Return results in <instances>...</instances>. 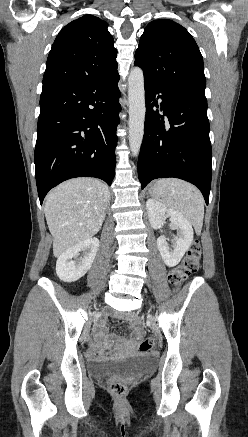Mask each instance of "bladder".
Segmentation results:
<instances>
[{"instance_id": "1", "label": "bladder", "mask_w": 248, "mask_h": 437, "mask_svg": "<svg viewBox=\"0 0 248 437\" xmlns=\"http://www.w3.org/2000/svg\"><path fill=\"white\" fill-rule=\"evenodd\" d=\"M154 359L149 355H139L124 360H107L96 362L91 372L99 378H129L139 375L153 365Z\"/></svg>"}]
</instances>
